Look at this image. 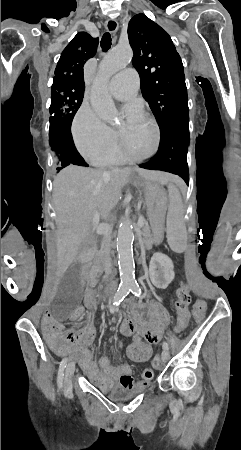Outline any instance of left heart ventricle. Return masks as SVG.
<instances>
[{
	"mask_svg": "<svg viewBox=\"0 0 241 450\" xmlns=\"http://www.w3.org/2000/svg\"><path fill=\"white\" fill-rule=\"evenodd\" d=\"M152 122L155 121L148 113L140 114L122 128L126 146L124 150L132 160H146L149 157L155 130Z\"/></svg>",
	"mask_w": 241,
	"mask_h": 450,
	"instance_id": "b2bd125f",
	"label": "left heart ventricle"
}]
</instances>
